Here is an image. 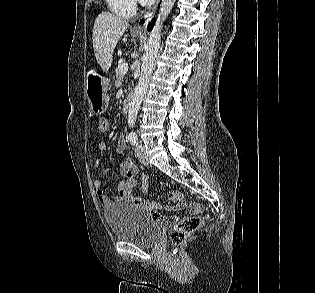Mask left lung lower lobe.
Instances as JSON below:
<instances>
[{
  "label": "left lung lower lobe",
  "mask_w": 315,
  "mask_h": 293,
  "mask_svg": "<svg viewBox=\"0 0 315 293\" xmlns=\"http://www.w3.org/2000/svg\"><path fill=\"white\" fill-rule=\"evenodd\" d=\"M150 29H151V26L149 25L148 30H150Z\"/></svg>",
  "instance_id": "1"
}]
</instances>
